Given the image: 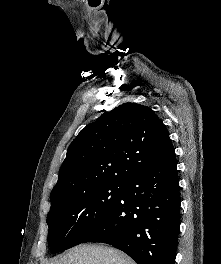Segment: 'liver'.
<instances>
[{"instance_id":"obj_1","label":"liver","mask_w":221,"mask_h":264,"mask_svg":"<svg viewBox=\"0 0 221 264\" xmlns=\"http://www.w3.org/2000/svg\"><path fill=\"white\" fill-rule=\"evenodd\" d=\"M46 264H136L129 256L111 247L80 245L70 249L59 259Z\"/></svg>"}]
</instances>
